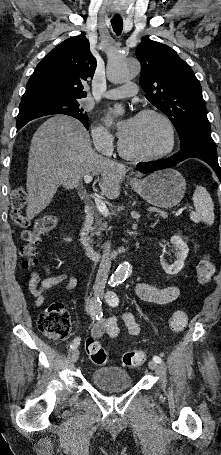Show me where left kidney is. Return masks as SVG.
I'll use <instances>...</instances> for the list:
<instances>
[{"label":"left kidney","instance_id":"obj_1","mask_svg":"<svg viewBox=\"0 0 221 455\" xmlns=\"http://www.w3.org/2000/svg\"><path fill=\"white\" fill-rule=\"evenodd\" d=\"M171 243L174 245L176 250V261L173 264H168L166 260L161 256L160 264L167 274L174 275L183 268L185 259L189 252V248L187 244L182 240V238L178 235L171 237Z\"/></svg>","mask_w":221,"mask_h":455}]
</instances>
